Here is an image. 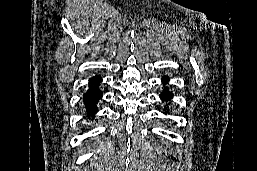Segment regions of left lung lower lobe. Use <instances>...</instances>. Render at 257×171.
Wrapping results in <instances>:
<instances>
[{
  "mask_svg": "<svg viewBox=\"0 0 257 171\" xmlns=\"http://www.w3.org/2000/svg\"><path fill=\"white\" fill-rule=\"evenodd\" d=\"M162 81L163 83H167L168 78L165 77ZM170 97H172V94L166 89H164L163 93L160 95V98L163 100H168Z\"/></svg>",
  "mask_w": 257,
  "mask_h": 171,
  "instance_id": "obj_1",
  "label": "left lung lower lobe"
}]
</instances>
